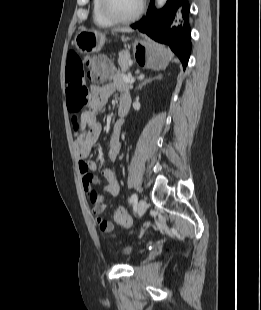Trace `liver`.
Instances as JSON below:
<instances>
[{
  "mask_svg": "<svg viewBox=\"0 0 261 310\" xmlns=\"http://www.w3.org/2000/svg\"><path fill=\"white\" fill-rule=\"evenodd\" d=\"M119 31L120 32H128V33L132 32V30H130V29H120Z\"/></svg>",
  "mask_w": 261,
  "mask_h": 310,
  "instance_id": "1",
  "label": "liver"
}]
</instances>
